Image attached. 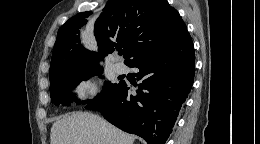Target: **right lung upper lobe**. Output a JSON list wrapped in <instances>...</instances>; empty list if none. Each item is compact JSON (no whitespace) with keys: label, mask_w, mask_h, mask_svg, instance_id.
<instances>
[{"label":"right lung upper lobe","mask_w":260,"mask_h":144,"mask_svg":"<svg viewBox=\"0 0 260 144\" xmlns=\"http://www.w3.org/2000/svg\"><path fill=\"white\" fill-rule=\"evenodd\" d=\"M90 13L75 15L59 29L49 76L99 66L101 59L121 47L129 64L143 54L179 41L188 33L178 11L167 0H109L94 25L99 47L95 53L82 46L79 36Z\"/></svg>","instance_id":"right-lung-upper-lobe-1"}]
</instances>
